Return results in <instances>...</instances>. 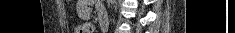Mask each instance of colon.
<instances>
[{"label": "colon", "instance_id": "obj_1", "mask_svg": "<svg viewBox=\"0 0 235 33\" xmlns=\"http://www.w3.org/2000/svg\"><path fill=\"white\" fill-rule=\"evenodd\" d=\"M74 33H92V28L88 23H79L74 26Z\"/></svg>", "mask_w": 235, "mask_h": 33}]
</instances>
